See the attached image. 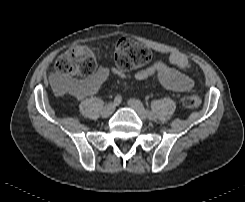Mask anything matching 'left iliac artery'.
Listing matches in <instances>:
<instances>
[{"instance_id": "1", "label": "left iliac artery", "mask_w": 245, "mask_h": 202, "mask_svg": "<svg viewBox=\"0 0 245 202\" xmlns=\"http://www.w3.org/2000/svg\"><path fill=\"white\" fill-rule=\"evenodd\" d=\"M146 114H147V117H148L149 119H153V118H154V113H153V112H151V111H149V110H146Z\"/></svg>"}]
</instances>
